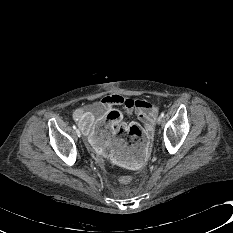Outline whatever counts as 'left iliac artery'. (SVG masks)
Masks as SVG:
<instances>
[{
    "label": "left iliac artery",
    "instance_id": "44dca946",
    "mask_svg": "<svg viewBox=\"0 0 233 233\" xmlns=\"http://www.w3.org/2000/svg\"><path fill=\"white\" fill-rule=\"evenodd\" d=\"M161 117H162V118L164 117V112L161 113Z\"/></svg>",
    "mask_w": 233,
    "mask_h": 233
}]
</instances>
